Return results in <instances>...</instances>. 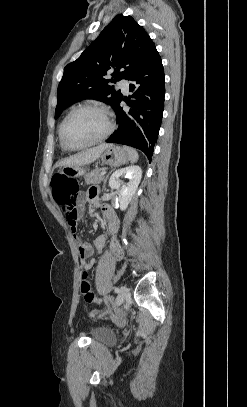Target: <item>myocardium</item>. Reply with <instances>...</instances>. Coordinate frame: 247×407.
Here are the masks:
<instances>
[{
  "mask_svg": "<svg viewBox=\"0 0 247 407\" xmlns=\"http://www.w3.org/2000/svg\"><path fill=\"white\" fill-rule=\"evenodd\" d=\"M84 109H90V110H95L100 112L106 119L107 121V129L104 132L103 135H101L99 138L86 143L84 145H80V146H70L69 144H67V142L64 139V127L66 125V122L68 121V119L76 112L80 111V110H84ZM115 125L114 122L112 120V117L110 115V113L108 112V110L100 105H96V104H82L79 105L75 108H73L62 120L60 127H59V132H58V136H59V141L60 144L62 145V147L67 150V151H78V150H82L85 148H88L90 146L96 145L104 140H106L114 131Z\"/></svg>",
  "mask_w": 247,
  "mask_h": 407,
  "instance_id": "myocardium-1",
  "label": "myocardium"
}]
</instances>
